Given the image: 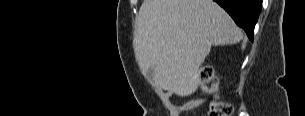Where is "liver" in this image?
<instances>
[{
    "label": "liver",
    "instance_id": "obj_1",
    "mask_svg": "<svg viewBox=\"0 0 305 116\" xmlns=\"http://www.w3.org/2000/svg\"><path fill=\"white\" fill-rule=\"evenodd\" d=\"M242 31L213 0H145L136 19L134 52L155 84L188 96L200 82V66L212 45H232Z\"/></svg>",
    "mask_w": 305,
    "mask_h": 116
}]
</instances>
